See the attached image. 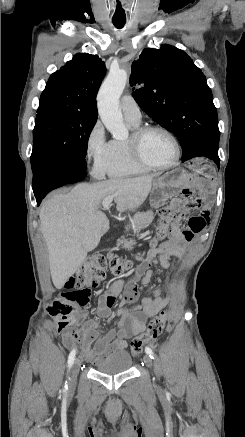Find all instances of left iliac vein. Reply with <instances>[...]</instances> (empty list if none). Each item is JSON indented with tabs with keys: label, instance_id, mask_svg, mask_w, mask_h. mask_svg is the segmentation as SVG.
Returning <instances> with one entry per match:
<instances>
[{
	"label": "left iliac vein",
	"instance_id": "obj_1",
	"mask_svg": "<svg viewBox=\"0 0 245 437\" xmlns=\"http://www.w3.org/2000/svg\"><path fill=\"white\" fill-rule=\"evenodd\" d=\"M144 362L148 368H150V369L152 368L153 361H152V358L148 354L144 356Z\"/></svg>",
	"mask_w": 245,
	"mask_h": 437
}]
</instances>
